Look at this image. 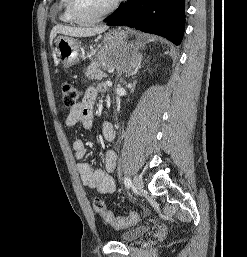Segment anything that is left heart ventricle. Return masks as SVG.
<instances>
[{"mask_svg": "<svg viewBox=\"0 0 247 257\" xmlns=\"http://www.w3.org/2000/svg\"><path fill=\"white\" fill-rule=\"evenodd\" d=\"M113 0H78L81 13L85 16H95L104 11Z\"/></svg>", "mask_w": 247, "mask_h": 257, "instance_id": "1", "label": "left heart ventricle"}]
</instances>
